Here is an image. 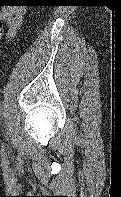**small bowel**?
Instances as JSON below:
<instances>
[{
  "label": "small bowel",
  "mask_w": 121,
  "mask_h": 197,
  "mask_svg": "<svg viewBox=\"0 0 121 197\" xmlns=\"http://www.w3.org/2000/svg\"><path fill=\"white\" fill-rule=\"evenodd\" d=\"M0 20L3 21L7 27V37L11 38L16 35L23 24L25 17V9L21 5H1Z\"/></svg>",
  "instance_id": "obj_1"
}]
</instances>
